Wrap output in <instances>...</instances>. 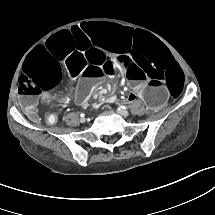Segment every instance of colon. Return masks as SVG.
<instances>
[{
  "instance_id": "colon-1",
  "label": "colon",
  "mask_w": 215,
  "mask_h": 215,
  "mask_svg": "<svg viewBox=\"0 0 215 215\" xmlns=\"http://www.w3.org/2000/svg\"><path fill=\"white\" fill-rule=\"evenodd\" d=\"M57 116L55 113L51 112L49 114L46 115V122L49 125H52L56 122Z\"/></svg>"
}]
</instances>
